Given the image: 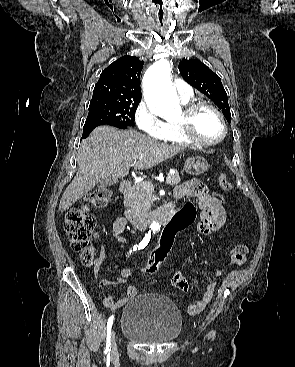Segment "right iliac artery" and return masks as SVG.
<instances>
[{"label":"right iliac artery","instance_id":"obj_1","mask_svg":"<svg viewBox=\"0 0 295 367\" xmlns=\"http://www.w3.org/2000/svg\"><path fill=\"white\" fill-rule=\"evenodd\" d=\"M140 249V246H134L129 252L128 255L131 254L133 251ZM113 320H114V315L110 316V318L108 319L107 322V340H106V348H105V353H110L111 350V342H110V335H111V328H112V324H113Z\"/></svg>","mask_w":295,"mask_h":367}]
</instances>
